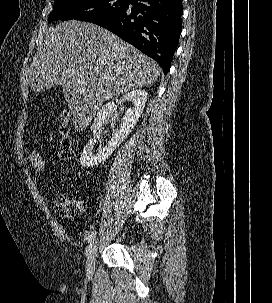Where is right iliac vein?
I'll return each instance as SVG.
<instances>
[{
    "mask_svg": "<svg viewBox=\"0 0 272 303\" xmlns=\"http://www.w3.org/2000/svg\"><path fill=\"white\" fill-rule=\"evenodd\" d=\"M98 245L99 241L93 239L87 249L86 273L88 276H92L94 273Z\"/></svg>",
    "mask_w": 272,
    "mask_h": 303,
    "instance_id": "63e3f726",
    "label": "right iliac vein"
}]
</instances>
